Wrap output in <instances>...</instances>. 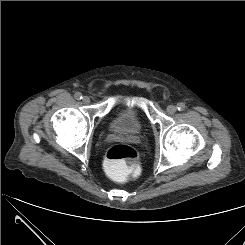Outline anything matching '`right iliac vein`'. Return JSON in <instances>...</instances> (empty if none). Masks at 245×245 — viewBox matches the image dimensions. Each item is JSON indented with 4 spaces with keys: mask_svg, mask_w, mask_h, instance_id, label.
Returning <instances> with one entry per match:
<instances>
[{
    "mask_svg": "<svg viewBox=\"0 0 245 245\" xmlns=\"http://www.w3.org/2000/svg\"><path fill=\"white\" fill-rule=\"evenodd\" d=\"M82 101H83L84 104H89L91 100H90L89 96H84Z\"/></svg>",
    "mask_w": 245,
    "mask_h": 245,
    "instance_id": "right-iliac-vein-1",
    "label": "right iliac vein"
}]
</instances>
